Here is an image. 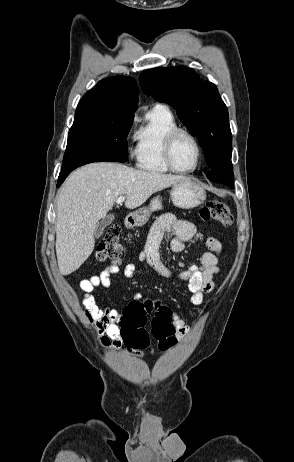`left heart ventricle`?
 I'll use <instances>...</instances> for the list:
<instances>
[{
  "label": "left heart ventricle",
  "mask_w": 294,
  "mask_h": 462,
  "mask_svg": "<svg viewBox=\"0 0 294 462\" xmlns=\"http://www.w3.org/2000/svg\"><path fill=\"white\" fill-rule=\"evenodd\" d=\"M172 158L176 167L190 169L195 165L197 150L194 143L186 136H180L174 143Z\"/></svg>",
  "instance_id": "obj_1"
}]
</instances>
